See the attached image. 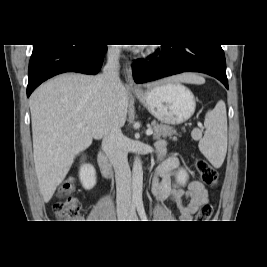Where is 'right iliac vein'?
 <instances>
[{"label": "right iliac vein", "instance_id": "1", "mask_svg": "<svg viewBox=\"0 0 267 267\" xmlns=\"http://www.w3.org/2000/svg\"><path fill=\"white\" fill-rule=\"evenodd\" d=\"M127 215H128V212L126 210H121V211H118L117 213L118 219L120 220L126 219Z\"/></svg>", "mask_w": 267, "mask_h": 267}]
</instances>
